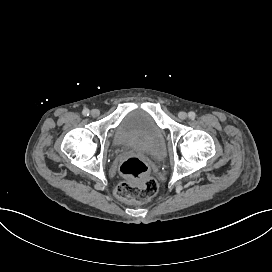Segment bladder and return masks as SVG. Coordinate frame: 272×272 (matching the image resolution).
Segmentation results:
<instances>
[{
  "label": "bladder",
  "mask_w": 272,
  "mask_h": 272,
  "mask_svg": "<svg viewBox=\"0 0 272 272\" xmlns=\"http://www.w3.org/2000/svg\"><path fill=\"white\" fill-rule=\"evenodd\" d=\"M111 143L121 149L135 148L140 154L160 161L165 151V132L155 119L141 112H132L120 119Z\"/></svg>",
  "instance_id": "bladder-1"
}]
</instances>
